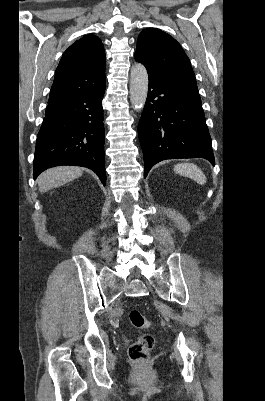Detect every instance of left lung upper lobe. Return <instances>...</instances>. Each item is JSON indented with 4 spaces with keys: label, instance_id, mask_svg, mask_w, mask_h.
Here are the masks:
<instances>
[{
    "label": "left lung upper lobe",
    "instance_id": "5c2ea615",
    "mask_svg": "<svg viewBox=\"0 0 265 401\" xmlns=\"http://www.w3.org/2000/svg\"><path fill=\"white\" fill-rule=\"evenodd\" d=\"M135 60L146 67L150 76L196 84L190 60L181 45L159 29L148 28L140 33Z\"/></svg>",
    "mask_w": 265,
    "mask_h": 401
}]
</instances>
